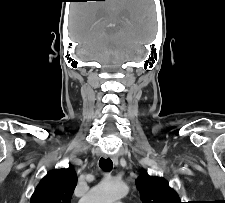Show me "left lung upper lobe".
<instances>
[{
    "label": "left lung upper lobe",
    "instance_id": "obj_1",
    "mask_svg": "<svg viewBox=\"0 0 225 203\" xmlns=\"http://www.w3.org/2000/svg\"><path fill=\"white\" fill-rule=\"evenodd\" d=\"M143 203H181L177 193L160 177H151L145 171L136 180Z\"/></svg>",
    "mask_w": 225,
    "mask_h": 203
}]
</instances>
